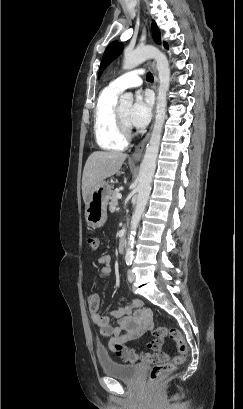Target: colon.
Masks as SVG:
<instances>
[{
	"mask_svg": "<svg viewBox=\"0 0 243 409\" xmlns=\"http://www.w3.org/2000/svg\"><path fill=\"white\" fill-rule=\"evenodd\" d=\"M87 242L93 250H96L99 246L98 240L93 236H89ZM99 302L97 295H90L88 297L89 308L93 311L98 310ZM151 315L153 316L154 313H151ZM153 334L158 340H164L169 337L174 340L177 345V352L171 361L163 360L159 363H155L149 372V381L154 387H158L164 378L175 370L176 365L185 360L188 353V346L181 333L175 328L170 329L169 332H167L165 328H156Z\"/></svg>",
	"mask_w": 243,
	"mask_h": 409,
	"instance_id": "5ec220e1",
	"label": "colon"
}]
</instances>
